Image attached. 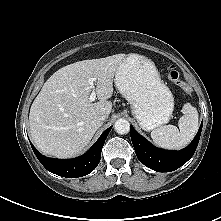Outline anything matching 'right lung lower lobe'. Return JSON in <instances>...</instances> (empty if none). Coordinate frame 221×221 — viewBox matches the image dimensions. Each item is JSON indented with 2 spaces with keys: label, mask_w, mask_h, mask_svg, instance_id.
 Segmentation results:
<instances>
[{
  "label": "right lung lower lobe",
  "mask_w": 221,
  "mask_h": 221,
  "mask_svg": "<svg viewBox=\"0 0 221 221\" xmlns=\"http://www.w3.org/2000/svg\"><path fill=\"white\" fill-rule=\"evenodd\" d=\"M112 126L106 129L96 143L84 155L74 159H53L40 154L35 147H31L40 163L50 172L66 177L77 178L89 174L98 165L101 151Z\"/></svg>",
  "instance_id": "1"
}]
</instances>
